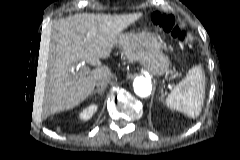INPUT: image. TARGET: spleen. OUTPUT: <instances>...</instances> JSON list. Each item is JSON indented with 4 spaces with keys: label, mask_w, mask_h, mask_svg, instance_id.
<instances>
[{
    "label": "spleen",
    "mask_w": 240,
    "mask_h": 160,
    "mask_svg": "<svg viewBox=\"0 0 240 160\" xmlns=\"http://www.w3.org/2000/svg\"><path fill=\"white\" fill-rule=\"evenodd\" d=\"M204 81L205 76L202 69L197 66L191 68L186 77L167 96V106L186 114L188 117L198 116L203 106Z\"/></svg>",
    "instance_id": "spleen-1"
}]
</instances>
